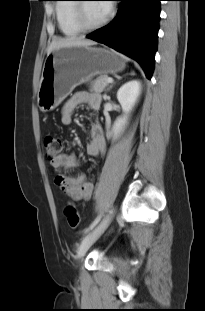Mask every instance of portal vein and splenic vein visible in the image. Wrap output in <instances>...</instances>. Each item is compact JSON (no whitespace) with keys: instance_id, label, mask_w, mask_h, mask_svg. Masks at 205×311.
Here are the masks:
<instances>
[{"instance_id":"obj_1","label":"portal vein and splenic vein","mask_w":205,"mask_h":311,"mask_svg":"<svg viewBox=\"0 0 205 311\" xmlns=\"http://www.w3.org/2000/svg\"><path fill=\"white\" fill-rule=\"evenodd\" d=\"M106 81H107L108 83H113V78L108 77V78L106 79Z\"/></svg>"}]
</instances>
